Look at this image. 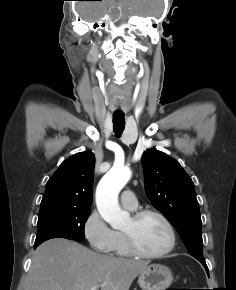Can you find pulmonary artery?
Returning a JSON list of instances; mask_svg holds the SVG:
<instances>
[{
  "label": "pulmonary artery",
  "mask_w": 236,
  "mask_h": 290,
  "mask_svg": "<svg viewBox=\"0 0 236 290\" xmlns=\"http://www.w3.org/2000/svg\"><path fill=\"white\" fill-rule=\"evenodd\" d=\"M121 204L128 210L136 209L138 205L136 194L132 190H125L121 194Z\"/></svg>",
  "instance_id": "1"
}]
</instances>
